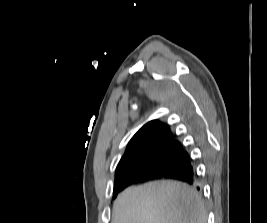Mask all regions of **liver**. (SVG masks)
Masks as SVG:
<instances>
[{
	"mask_svg": "<svg viewBox=\"0 0 267 223\" xmlns=\"http://www.w3.org/2000/svg\"><path fill=\"white\" fill-rule=\"evenodd\" d=\"M201 197L177 181H154L124 190L115 200L111 223H206Z\"/></svg>",
	"mask_w": 267,
	"mask_h": 223,
	"instance_id": "6515ba94",
	"label": "liver"
}]
</instances>
